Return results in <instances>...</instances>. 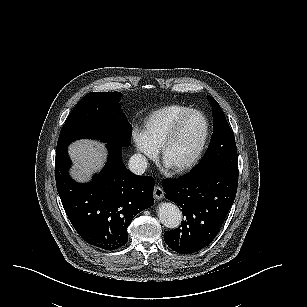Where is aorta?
<instances>
[{
	"instance_id": "762f6f07",
	"label": "aorta",
	"mask_w": 307,
	"mask_h": 307,
	"mask_svg": "<svg viewBox=\"0 0 307 307\" xmlns=\"http://www.w3.org/2000/svg\"><path fill=\"white\" fill-rule=\"evenodd\" d=\"M156 214L160 222L168 228L179 226L182 220V212L171 202H160L156 207Z\"/></svg>"
}]
</instances>
